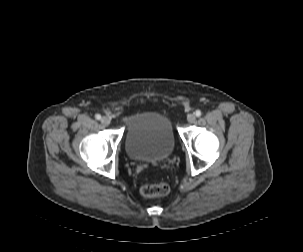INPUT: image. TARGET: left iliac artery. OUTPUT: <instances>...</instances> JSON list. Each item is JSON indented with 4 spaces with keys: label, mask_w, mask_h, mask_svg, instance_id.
<instances>
[{
    "label": "left iliac artery",
    "mask_w": 303,
    "mask_h": 252,
    "mask_svg": "<svg viewBox=\"0 0 303 252\" xmlns=\"http://www.w3.org/2000/svg\"><path fill=\"white\" fill-rule=\"evenodd\" d=\"M195 114H196L197 117H200L201 116V111L200 110H196Z\"/></svg>",
    "instance_id": "obj_1"
}]
</instances>
